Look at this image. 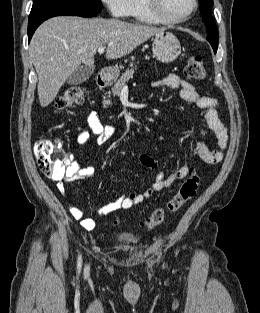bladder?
<instances>
[{
	"label": "bladder",
	"instance_id": "obj_1",
	"mask_svg": "<svg viewBox=\"0 0 260 313\" xmlns=\"http://www.w3.org/2000/svg\"><path fill=\"white\" fill-rule=\"evenodd\" d=\"M139 238L135 234H123L116 238V242L122 245L134 244L138 242Z\"/></svg>",
	"mask_w": 260,
	"mask_h": 313
}]
</instances>
